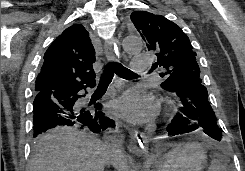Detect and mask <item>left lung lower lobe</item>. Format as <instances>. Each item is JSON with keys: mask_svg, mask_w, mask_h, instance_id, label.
I'll use <instances>...</instances> for the list:
<instances>
[{"mask_svg": "<svg viewBox=\"0 0 245 171\" xmlns=\"http://www.w3.org/2000/svg\"><path fill=\"white\" fill-rule=\"evenodd\" d=\"M171 92L180 98L183 106L167 126L168 135L176 136L203 128V132L211 138L222 139V131L218 128L207 89L202 83L184 82Z\"/></svg>", "mask_w": 245, "mask_h": 171, "instance_id": "1", "label": "left lung lower lobe"}]
</instances>
